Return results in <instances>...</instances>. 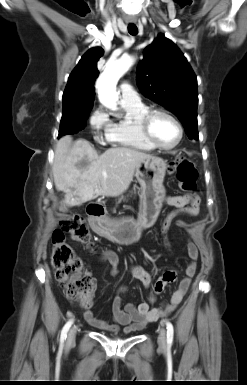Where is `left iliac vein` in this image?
<instances>
[{
  "label": "left iliac vein",
  "mask_w": 247,
  "mask_h": 385,
  "mask_svg": "<svg viewBox=\"0 0 247 385\" xmlns=\"http://www.w3.org/2000/svg\"><path fill=\"white\" fill-rule=\"evenodd\" d=\"M158 344L160 347L166 346V330L162 326L159 328Z\"/></svg>",
  "instance_id": "left-iliac-vein-1"
}]
</instances>
